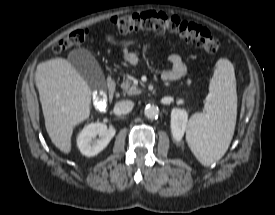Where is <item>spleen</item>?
<instances>
[{
  "label": "spleen",
  "mask_w": 275,
  "mask_h": 215,
  "mask_svg": "<svg viewBox=\"0 0 275 215\" xmlns=\"http://www.w3.org/2000/svg\"><path fill=\"white\" fill-rule=\"evenodd\" d=\"M237 92L233 64L216 62L203 113L194 114L187 125L186 139L198 161L209 166L220 160L232 140L236 125Z\"/></svg>",
  "instance_id": "obj_1"
}]
</instances>
